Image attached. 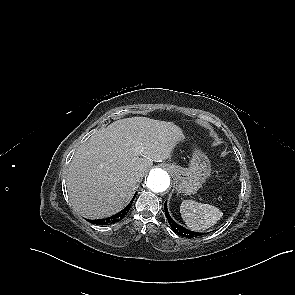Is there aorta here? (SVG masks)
Segmentation results:
<instances>
[{"instance_id":"762f6f07","label":"aorta","mask_w":295,"mask_h":295,"mask_svg":"<svg viewBox=\"0 0 295 295\" xmlns=\"http://www.w3.org/2000/svg\"><path fill=\"white\" fill-rule=\"evenodd\" d=\"M170 176L167 171L161 168H154L149 172L146 179V186L149 190L159 193L168 189Z\"/></svg>"}]
</instances>
